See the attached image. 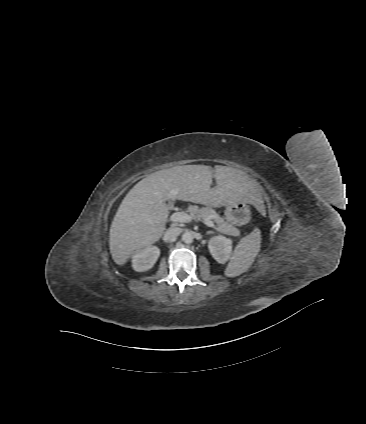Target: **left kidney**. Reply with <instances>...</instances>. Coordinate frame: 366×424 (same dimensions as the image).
Instances as JSON below:
<instances>
[{
	"instance_id": "1",
	"label": "left kidney",
	"mask_w": 366,
	"mask_h": 424,
	"mask_svg": "<svg viewBox=\"0 0 366 424\" xmlns=\"http://www.w3.org/2000/svg\"><path fill=\"white\" fill-rule=\"evenodd\" d=\"M208 248L213 258L224 264L230 258L232 252V240L224 236H214L208 242Z\"/></svg>"
}]
</instances>
